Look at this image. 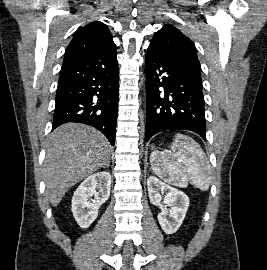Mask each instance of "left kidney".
<instances>
[{
	"label": "left kidney",
	"instance_id": "left-kidney-1",
	"mask_svg": "<svg viewBox=\"0 0 267 270\" xmlns=\"http://www.w3.org/2000/svg\"><path fill=\"white\" fill-rule=\"evenodd\" d=\"M147 188L150 202L153 205L158 206L161 210L158 214V221L162 230L166 234L175 233L186 216L189 207L188 196L184 192L164 183L155 176L148 177ZM163 194L165 195V205H162L161 203ZM166 206H171L169 214Z\"/></svg>",
	"mask_w": 267,
	"mask_h": 270
}]
</instances>
